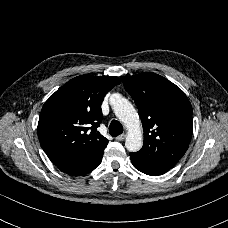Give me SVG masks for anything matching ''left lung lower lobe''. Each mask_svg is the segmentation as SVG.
I'll list each match as a JSON object with an SVG mask.
<instances>
[{"instance_id":"left-lung-lower-lobe-1","label":"left lung lower lobe","mask_w":228,"mask_h":228,"mask_svg":"<svg viewBox=\"0 0 228 228\" xmlns=\"http://www.w3.org/2000/svg\"><path fill=\"white\" fill-rule=\"evenodd\" d=\"M130 158H131V162H132L133 166L137 170H139L140 172L145 173L147 175H151V176L162 175V174L166 173L167 171H169L171 168V167H160V166H155V165L145 163V162L137 159L136 157H134L132 153H130Z\"/></svg>"}]
</instances>
